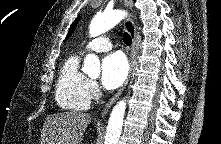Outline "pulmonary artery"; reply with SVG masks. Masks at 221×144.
<instances>
[{
    "label": "pulmonary artery",
    "instance_id": "pulmonary-artery-1",
    "mask_svg": "<svg viewBox=\"0 0 221 144\" xmlns=\"http://www.w3.org/2000/svg\"><path fill=\"white\" fill-rule=\"evenodd\" d=\"M112 49V42L108 37L101 36L89 42L83 53L86 51L106 52Z\"/></svg>",
    "mask_w": 221,
    "mask_h": 144
}]
</instances>
